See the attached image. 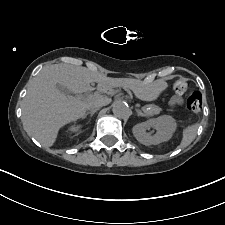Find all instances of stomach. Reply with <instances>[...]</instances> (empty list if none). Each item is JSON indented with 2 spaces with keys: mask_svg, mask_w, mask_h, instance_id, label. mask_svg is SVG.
Masks as SVG:
<instances>
[{
  "mask_svg": "<svg viewBox=\"0 0 225 225\" xmlns=\"http://www.w3.org/2000/svg\"><path fill=\"white\" fill-rule=\"evenodd\" d=\"M161 89H152L147 92L146 100H154L159 95Z\"/></svg>",
  "mask_w": 225,
  "mask_h": 225,
  "instance_id": "stomach-1",
  "label": "stomach"
}]
</instances>
